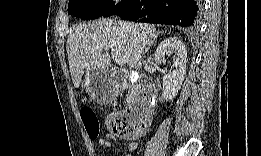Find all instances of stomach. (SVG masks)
<instances>
[{
  "label": "stomach",
  "instance_id": "1",
  "mask_svg": "<svg viewBox=\"0 0 261 156\" xmlns=\"http://www.w3.org/2000/svg\"><path fill=\"white\" fill-rule=\"evenodd\" d=\"M83 86L93 96H95L96 88H104V90L112 91L111 75L107 69L91 71L86 76Z\"/></svg>",
  "mask_w": 261,
  "mask_h": 156
}]
</instances>
